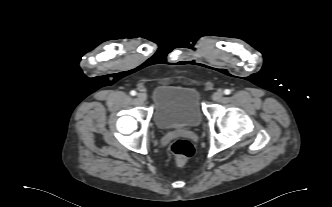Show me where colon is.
Here are the masks:
<instances>
[{"mask_svg": "<svg viewBox=\"0 0 332 207\" xmlns=\"http://www.w3.org/2000/svg\"><path fill=\"white\" fill-rule=\"evenodd\" d=\"M170 151L175 156L179 165L184 164L195 154L194 145L187 139L179 138L170 144Z\"/></svg>", "mask_w": 332, "mask_h": 207, "instance_id": "1", "label": "colon"}]
</instances>
